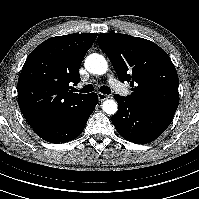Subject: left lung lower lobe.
<instances>
[{
  "instance_id": "0a47b994",
  "label": "left lung lower lobe",
  "mask_w": 199,
  "mask_h": 199,
  "mask_svg": "<svg viewBox=\"0 0 199 199\" xmlns=\"http://www.w3.org/2000/svg\"><path fill=\"white\" fill-rule=\"evenodd\" d=\"M119 109L112 116L117 132L126 140L137 144L150 143L169 126L171 117L141 107L126 97L114 95Z\"/></svg>"
}]
</instances>
